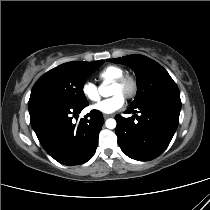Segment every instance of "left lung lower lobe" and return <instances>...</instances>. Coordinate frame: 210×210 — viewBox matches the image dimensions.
<instances>
[{
	"label": "left lung lower lobe",
	"mask_w": 210,
	"mask_h": 210,
	"mask_svg": "<svg viewBox=\"0 0 210 210\" xmlns=\"http://www.w3.org/2000/svg\"><path fill=\"white\" fill-rule=\"evenodd\" d=\"M180 110V96H161L130 106L125 111L127 114L138 112L139 116L124 118L116 115V134L121 150L138 161L158 157L177 129Z\"/></svg>",
	"instance_id": "left-lung-lower-lobe-1"
}]
</instances>
